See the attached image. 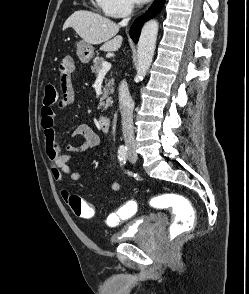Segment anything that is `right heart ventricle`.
<instances>
[{"instance_id":"e07e8e85","label":"right heart ventricle","mask_w":249,"mask_h":294,"mask_svg":"<svg viewBox=\"0 0 249 294\" xmlns=\"http://www.w3.org/2000/svg\"><path fill=\"white\" fill-rule=\"evenodd\" d=\"M96 2L100 7H103V0H96Z\"/></svg>"}]
</instances>
